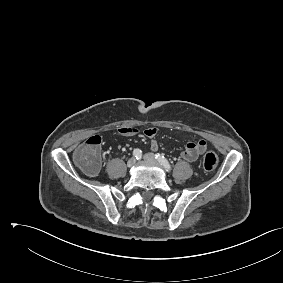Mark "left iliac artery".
<instances>
[{
  "label": "left iliac artery",
  "instance_id": "obj_1",
  "mask_svg": "<svg viewBox=\"0 0 283 283\" xmlns=\"http://www.w3.org/2000/svg\"><path fill=\"white\" fill-rule=\"evenodd\" d=\"M155 158L161 163V165L166 169V171H171V165L163 155L157 153L155 154Z\"/></svg>",
  "mask_w": 283,
  "mask_h": 283
}]
</instances>
